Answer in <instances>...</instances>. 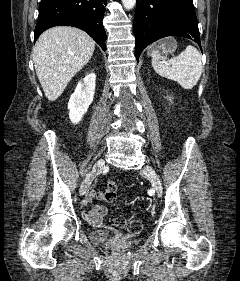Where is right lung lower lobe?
<instances>
[{"mask_svg":"<svg viewBox=\"0 0 240 281\" xmlns=\"http://www.w3.org/2000/svg\"><path fill=\"white\" fill-rule=\"evenodd\" d=\"M107 0H42L34 40L54 26H73L87 32L105 51L106 32L102 20Z\"/></svg>","mask_w":240,"mask_h":281,"instance_id":"right-lung-lower-lobe-1","label":"right lung lower lobe"}]
</instances>
